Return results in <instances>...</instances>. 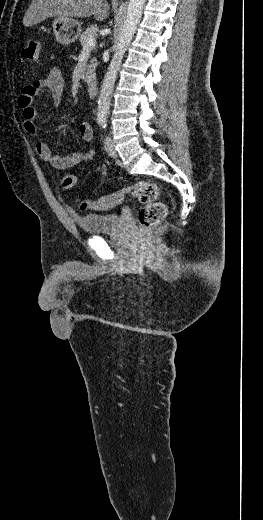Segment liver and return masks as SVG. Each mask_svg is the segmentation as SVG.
<instances>
[{"label":"liver","instance_id":"6515ba94","mask_svg":"<svg viewBox=\"0 0 263 520\" xmlns=\"http://www.w3.org/2000/svg\"><path fill=\"white\" fill-rule=\"evenodd\" d=\"M109 11L110 5L106 0H32L23 24L30 27L48 17L72 19L94 16L96 20H104L109 16Z\"/></svg>","mask_w":263,"mask_h":520}]
</instances>
